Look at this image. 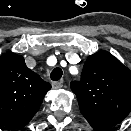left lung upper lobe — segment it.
Listing matches in <instances>:
<instances>
[{
    "instance_id": "obj_1",
    "label": "left lung upper lobe",
    "mask_w": 131,
    "mask_h": 131,
    "mask_svg": "<svg viewBox=\"0 0 131 131\" xmlns=\"http://www.w3.org/2000/svg\"><path fill=\"white\" fill-rule=\"evenodd\" d=\"M70 85L82 115L96 130L115 126L131 110V71L107 51L90 55L81 80Z\"/></svg>"
}]
</instances>
